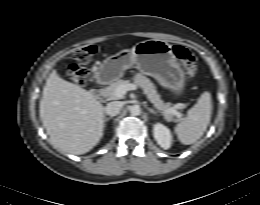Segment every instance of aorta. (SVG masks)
Returning <instances> with one entry per match:
<instances>
[{"instance_id": "obj_1", "label": "aorta", "mask_w": 260, "mask_h": 205, "mask_svg": "<svg viewBox=\"0 0 260 205\" xmlns=\"http://www.w3.org/2000/svg\"><path fill=\"white\" fill-rule=\"evenodd\" d=\"M129 111L133 116H138L141 113V108L139 105H133L130 106Z\"/></svg>"}]
</instances>
